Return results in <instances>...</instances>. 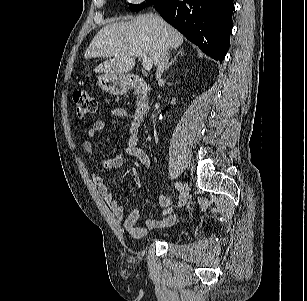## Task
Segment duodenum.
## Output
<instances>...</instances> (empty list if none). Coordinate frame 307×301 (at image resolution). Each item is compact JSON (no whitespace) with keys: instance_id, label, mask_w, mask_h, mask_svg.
<instances>
[{"instance_id":"1","label":"duodenum","mask_w":307,"mask_h":301,"mask_svg":"<svg viewBox=\"0 0 307 301\" xmlns=\"http://www.w3.org/2000/svg\"><path fill=\"white\" fill-rule=\"evenodd\" d=\"M129 85L136 93V108L139 113H148L150 110V99L148 95V85L145 79L141 76H132Z\"/></svg>"}]
</instances>
